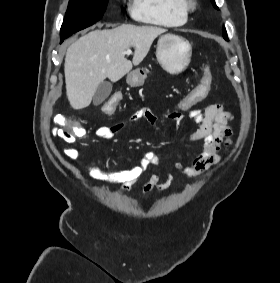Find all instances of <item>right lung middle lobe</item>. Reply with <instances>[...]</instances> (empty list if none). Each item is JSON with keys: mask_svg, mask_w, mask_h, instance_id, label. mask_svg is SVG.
<instances>
[{"mask_svg": "<svg viewBox=\"0 0 280 283\" xmlns=\"http://www.w3.org/2000/svg\"><path fill=\"white\" fill-rule=\"evenodd\" d=\"M107 3L108 0H70L60 30L61 42L73 33L99 21Z\"/></svg>", "mask_w": 280, "mask_h": 283, "instance_id": "right-lung-middle-lobe-1", "label": "right lung middle lobe"}]
</instances>
